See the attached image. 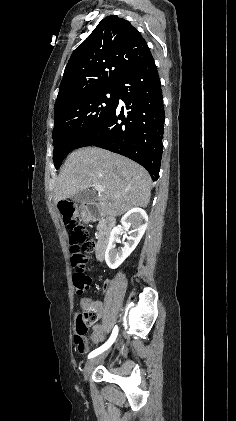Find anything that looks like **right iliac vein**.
I'll return each instance as SVG.
<instances>
[{
    "label": "right iliac vein",
    "mask_w": 236,
    "mask_h": 421,
    "mask_svg": "<svg viewBox=\"0 0 236 421\" xmlns=\"http://www.w3.org/2000/svg\"><path fill=\"white\" fill-rule=\"evenodd\" d=\"M107 354H108V351H106V352H104V353H102V354H100V355H98V356H96V357H94V358L90 359V360L86 363V365H85V369H84V374H83V375H84L85 380H87V378L89 377V375H90V373H91V371H92L93 367H94L97 363H99V362L103 361V360L105 359V357L107 356Z\"/></svg>",
    "instance_id": "right-iliac-vein-1"
}]
</instances>
